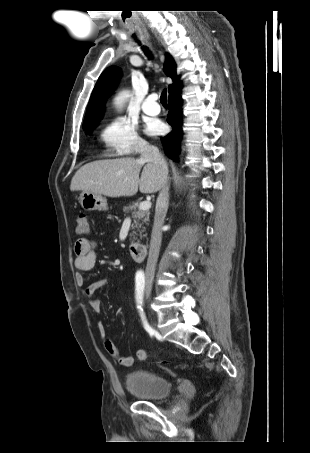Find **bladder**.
I'll return each mask as SVG.
<instances>
[{
	"label": "bladder",
	"mask_w": 310,
	"mask_h": 453,
	"mask_svg": "<svg viewBox=\"0 0 310 453\" xmlns=\"http://www.w3.org/2000/svg\"><path fill=\"white\" fill-rule=\"evenodd\" d=\"M125 386L130 393L144 401H157L171 393L170 382L164 376L149 370L129 373Z\"/></svg>",
	"instance_id": "obj_1"
}]
</instances>
